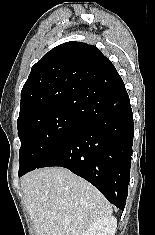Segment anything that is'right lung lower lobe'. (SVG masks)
Here are the masks:
<instances>
[{
	"instance_id": "obj_1",
	"label": "right lung lower lobe",
	"mask_w": 155,
	"mask_h": 235,
	"mask_svg": "<svg viewBox=\"0 0 155 235\" xmlns=\"http://www.w3.org/2000/svg\"><path fill=\"white\" fill-rule=\"evenodd\" d=\"M79 116L84 124L36 168L65 167L92 183L109 202L123 210L130 179L134 124L122 79L87 92Z\"/></svg>"
}]
</instances>
